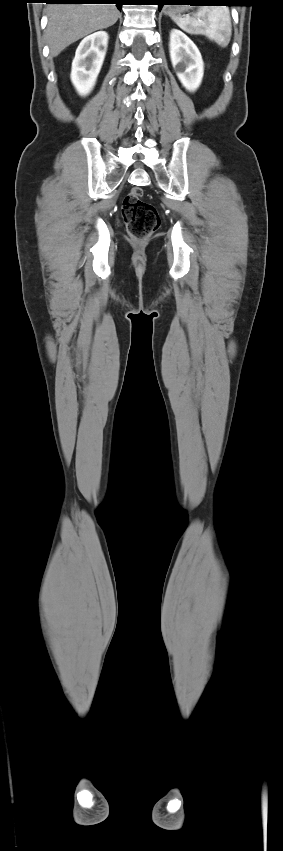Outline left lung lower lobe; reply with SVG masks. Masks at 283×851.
I'll return each mask as SVG.
<instances>
[{
    "label": "left lung lower lobe",
    "instance_id": "1",
    "mask_svg": "<svg viewBox=\"0 0 283 851\" xmlns=\"http://www.w3.org/2000/svg\"><path fill=\"white\" fill-rule=\"evenodd\" d=\"M230 1L231 0H155L159 6V10H161L163 5L170 3H188L190 5H229L228 3Z\"/></svg>",
    "mask_w": 283,
    "mask_h": 851
}]
</instances>
